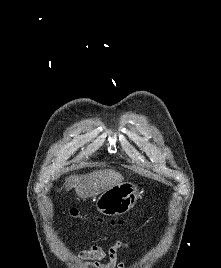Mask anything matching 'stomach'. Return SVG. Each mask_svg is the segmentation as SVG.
<instances>
[{"label": "stomach", "instance_id": "1", "mask_svg": "<svg viewBox=\"0 0 221 268\" xmlns=\"http://www.w3.org/2000/svg\"><path fill=\"white\" fill-rule=\"evenodd\" d=\"M140 196L135 184L124 182L102 192L96 199L95 206L104 215H121L134 207Z\"/></svg>", "mask_w": 221, "mask_h": 268}]
</instances>
